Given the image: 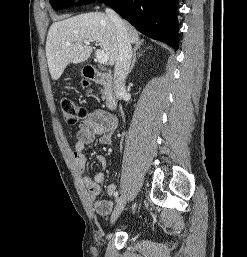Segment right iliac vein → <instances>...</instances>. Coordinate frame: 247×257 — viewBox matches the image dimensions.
Segmentation results:
<instances>
[{
	"instance_id": "obj_1",
	"label": "right iliac vein",
	"mask_w": 247,
	"mask_h": 257,
	"mask_svg": "<svg viewBox=\"0 0 247 257\" xmlns=\"http://www.w3.org/2000/svg\"><path fill=\"white\" fill-rule=\"evenodd\" d=\"M125 205H126V196L122 195L118 198L115 209L111 215V220H110L111 224L115 223L117 218L120 216V214L124 210Z\"/></svg>"
}]
</instances>
